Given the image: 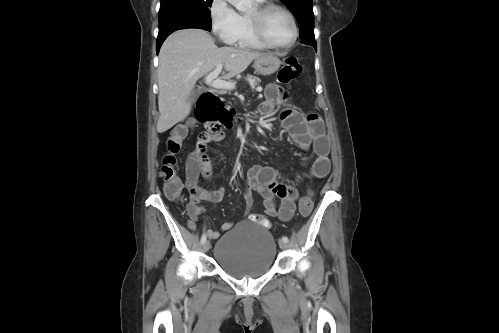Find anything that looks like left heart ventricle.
<instances>
[{
  "label": "left heart ventricle",
  "instance_id": "1",
  "mask_svg": "<svg viewBox=\"0 0 499 333\" xmlns=\"http://www.w3.org/2000/svg\"><path fill=\"white\" fill-rule=\"evenodd\" d=\"M255 8L249 13L253 14ZM264 30L274 44H285L292 38L293 29L289 17L280 10L270 11L264 18Z\"/></svg>",
  "mask_w": 499,
  "mask_h": 333
}]
</instances>
